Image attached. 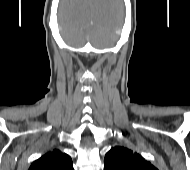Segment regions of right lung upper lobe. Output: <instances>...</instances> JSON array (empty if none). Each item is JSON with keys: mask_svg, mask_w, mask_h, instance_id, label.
<instances>
[{"mask_svg": "<svg viewBox=\"0 0 190 170\" xmlns=\"http://www.w3.org/2000/svg\"><path fill=\"white\" fill-rule=\"evenodd\" d=\"M29 170H74L72 159L66 153L54 149L32 163Z\"/></svg>", "mask_w": 190, "mask_h": 170, "instance_id": "obj_1", "label": "right lung upper lobe"}]
</instances>
